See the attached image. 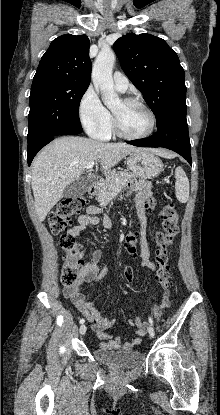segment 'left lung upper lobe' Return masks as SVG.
I'll return each mask as SVG.
<instances>
[{
	"mask_svg": "<svg viewBox=\"0 0 220 415\" xmlns=\"http://www.w3.org/2000/svg\"><path fill=\"white\" fill-rule=\"evenodd\" d=\"M121 67L144 95L157 124L186 109L184 69L165 40L151 34H126L113 45Z\"/></svg>",
	"mask_w": 220,
	"mask_h": 415,
	"instance_id": "5c2ea615",
	"label": "left lung upper lobe"
}]
</instances>
